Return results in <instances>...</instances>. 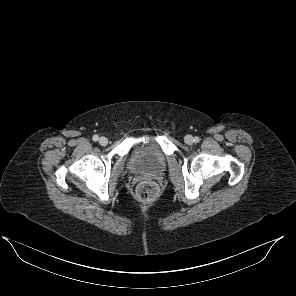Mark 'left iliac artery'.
I'll return each mask as SVG.
<instances>
[{
    "label": "left iliac artery",
    "instance_id": "left-iliac-artery-1",
    "mask_svg": "<svg viewBox=\"0 0 296 296\" xmlns=\"http://www.w3.org/2000/svg\"><path fill=\"white\" fill-rule=\"evenodd\" d=\"M200 141L199 137L194 138V142L198 143Z\"/></svg>",
    "mask_w": 296,
    "mask_h": 296
}]
</instances>
